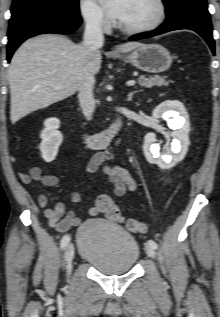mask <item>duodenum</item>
<instances>
[{"label":"duodenum","mask_w":220,"mask_h":317,"mask_svg":"<svg viewBox=\"0 0 220 317\" xmlns=\"http://www.w3.org/2000/svg\"><path fill=\"white\" fill-rule=\"evenodd\" d=\"M122 126V118L117 115L115 119L109 124V126L103 131L97 133H82L83 143L94 149H102L108 146L112 142H119V131Z\"/></svg>","instance_id":"duodenum-1"}]
</instances>
